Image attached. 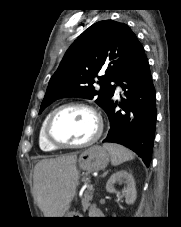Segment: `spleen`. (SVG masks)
I'll return each instance as SVG.
<instances>
[{
  "instance_id": "spleen-1",
  "label": "spleen",
  "mask_w": 181,
  "mask_h": 227,
  "mask_svg": "<svg viewBox=\"0 0 181 227\" xmlns=\"http://www.w3.org/2000/svg\"><path fill=\"white\" fill-rule=\"evenodd\" d=\"M103 148L109 152L111 156V164L113 166L120 165L123 162L134 158V154L130 150L119 144L105 143L103 144Z\"/></svg>"
}]
</instances>
